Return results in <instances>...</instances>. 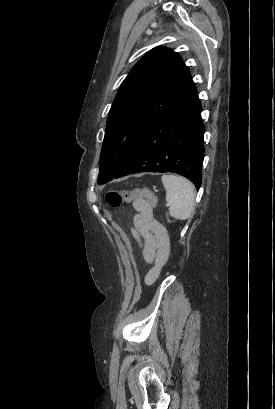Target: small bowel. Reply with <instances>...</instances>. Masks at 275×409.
Listing matches in <instances>:
<instances>
[{
  "instance_id": "c3829d8e",
  "label": "small bowel",
  "mask_w": 275,
  "mask_h": 409,
  "mask_svg": "<svg viewBox=\"0 0 275 409\" xmlns=\"http://www.w3.org/2000/svg\"><path fill=\"white\" fill-rule=\"evenodd\" d=\"M134 208L136 215L133 219V234L142 247L144 260L155 264L145 278L146 284H151L158 277L151 279L152 270L155 267L161 269L169 258L170 241L165 228L153 218L148 204L136 201Z\"/></svg>"
}]
</instances>
